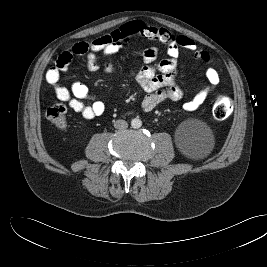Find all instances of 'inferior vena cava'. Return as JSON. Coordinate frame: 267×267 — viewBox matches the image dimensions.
<instances>
[{
	"label": "inferior vena cava",
	"instance_id": "1",
	"mask_svg": "<svg viewBox=\"0 0 267 267\" xmlns=\"http://www.w3.org/2000/svg\"><path fill=\"white\" fill-rule=\"evenodd\" d=\"M114 127L116 129H126L128 127V123L125 121V120H117L115 123H114Z\"/></svg>",
	"mask_w": 267,
	"mask_h": 267
}]
</instances>
